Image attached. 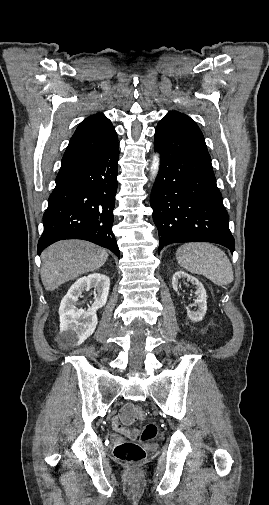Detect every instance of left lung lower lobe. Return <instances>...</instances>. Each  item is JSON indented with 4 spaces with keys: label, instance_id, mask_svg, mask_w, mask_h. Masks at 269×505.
I'll return each instance as SVG.
<instances>
[{
    "label": "left lung lower lobe",
    "instance_id": "1",
    "mask_svg": "<svg viewBox=\"0 0 269 505\" xmlns=\"http://www.w3.org/2000/svg\"><path fill=\"white\" fill-rule=\"evenodd\" d=\"M154 147L161 154L150 197L158 251L172 243L205 241L233 252L228 214L197 124L185 114L169 112L156 127Z\"/></svg>",
    "mask_w": 269,
    "mask_h": 505
}]
</instances>
